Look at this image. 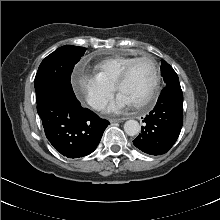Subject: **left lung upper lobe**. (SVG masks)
Masks as SVG:
<instances>
[{"instance_id": "5c2ea615", "label": "left lung upper lobe", "mask_w": 220, "mask_h": 220, "mask_svg": "<svg viewBox=\"0 0 220 220\" xmlns=\"http://www.w3.org/2000/svg\"><path fill=\"white\" fill-rule=\"evenodd\" d=\"M161 75L164 79V82L166 83V86L179 83V79H178L176 72L164 60L162 61V65H161Z\"/></svg>"}]
</instances>
